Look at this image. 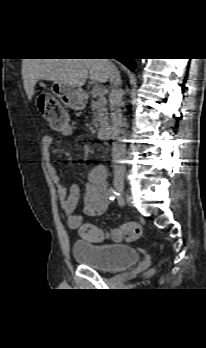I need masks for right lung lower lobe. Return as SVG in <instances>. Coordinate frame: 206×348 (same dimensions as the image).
<instances>
[{
  "instance_id": "obj_1",
  "label": "right lung lower lobe",
  "mask_w": 206,
  "mask_h": 348,
  "mask_svg": "<svg viewBox=\"0 0 206 348\" xmlns=\"http://www.w3.org/2000/svg\"><path fill=\"white\" fill-rule=\"evenodd\" d=\"M117 60L122 62L124 65H126L131 71H134L135 62L133 58L117 59Z\"/></svg>"
}]
</instances>
